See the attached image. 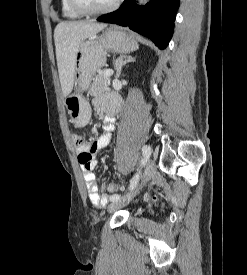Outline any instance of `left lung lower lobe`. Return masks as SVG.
<instances>
[{"label": "left lung lower lobe", "mask_w": 247, "mask_h": 275, "mask_svg": "<svg viewBox=\"0 0 247 275\" xmlns=\"http://www.w3.org/2000/svg\"><path fill=\"white\" fill-rule=\"evenodd\" d=\"M178 0H150L144 6L125 0L118 10L97 18L98 21L129 27L164 49L173 35Z\"/></svg>", "instance_id": "0a47b994"}]
</instances>
